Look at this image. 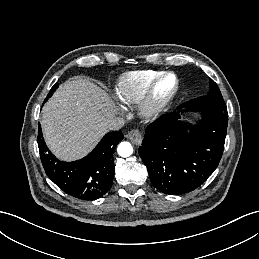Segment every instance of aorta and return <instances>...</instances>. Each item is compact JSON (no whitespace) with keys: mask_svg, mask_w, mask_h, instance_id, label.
Returning <instances> with one entry per match:
<instances>
[{"mask_svg":"<svg viewBox=\"0 0 259 259\" xmlns=\"http://www.w3.org/2000/svg\"><path fill=\"white\" fill-rule=\"evenodd\" d=\"M117 152L121 157H129L133 153V147L129 142H121L118 145Z\"/></svg>","mask_w":259,"mask_h":259,"instance_id":"obj_1","label":"aorta"}]
</instances>
